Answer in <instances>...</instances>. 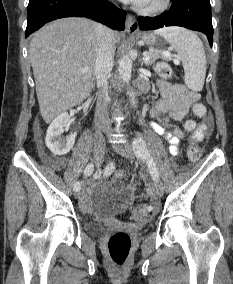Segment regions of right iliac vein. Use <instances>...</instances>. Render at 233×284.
I'll return each instance as SVG.
<instances>
[{
    "label": "right iliac vein",
    "mask_w": 233,
    "mask_h": 284,
    "mask_svg": "<svg viewBox=\"0 0 233 284\" xmlns=\"http://www.w3.org/2000/svg\"><path fill=\"white\" fill-rule=\"evenodd\" d=\"M105 151V139L101 136L95 138L94 141V160L96 164H99L102 155ZM81 193L80 189L76 190V197H78Z\"/></svg>",
    "instance_id": "1"
}]
</instances>
